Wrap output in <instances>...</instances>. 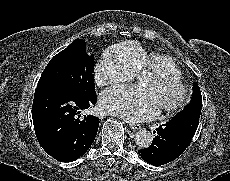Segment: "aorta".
I'll use <instances>...</instances> for the list:
<instances>
[{"mask_svg": "<svg viewBox=\"0 0 230 181\" xmlns=\"http://www.w3.org/2000/svg\"><path fill=\"white\" fill-rule=\"evenodd\" d=\"M135 143L139 148H148L152 144L153 136L150 131L140 129L135 133Z\"/></svg>", "mask_w": 230, "mask_h": 181, "instance_id": "aorta-1", "label": "aorta"}]
</instances>
